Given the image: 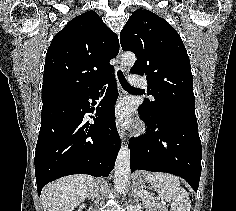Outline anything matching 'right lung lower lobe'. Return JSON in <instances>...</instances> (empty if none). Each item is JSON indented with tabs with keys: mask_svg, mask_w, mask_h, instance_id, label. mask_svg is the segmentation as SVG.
Segmentation results:
<instances>
[{
	"mask_svg": "<svg viewBox=\"0 0 236 211\" xmlns=\"http://www.w3.org/2000/svg\"><path fill=\"white\" fill-rule=\"evenodd\" d=\"M105 97L96 108L94 123L86 121L93 113L98 89L84 95L43 102L41 128L35 152V174L40 196L49 182L71 174L108 176L120 149L113 106L118 96L112 75Z\"/></svg>",
	"mask_w": 236,
	"mask_h": 211,
	"instance_id": "right-lung-lower-lobe-1",
	"label": "right lung lower lobe"
}]
</instances>
